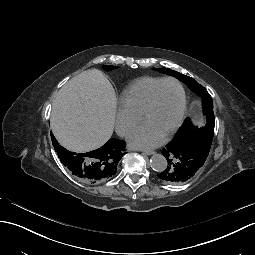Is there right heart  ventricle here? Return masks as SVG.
Returning a JSON list of instances; mask_svg holds the SVG:
<instances>
[{
    "instance_id": "right-heart-ventricle-1",
    "label": "right heart ventricle",
    "mask_w": 255,
    "mask_h": 255,
    "mask_svg": "<svg viewBox=\"0 0 255 255\" xmlns=\"http://www.w3.org/2000/svg\"><path fill=\"white\" fill-rule=\"evenodd\" d=\"M162 78L143 77L129 85L118 96L119 106L140 116L151 89Z\"/></svg>"
}]
</instances>
